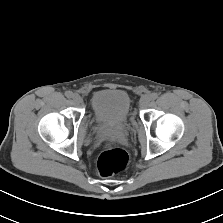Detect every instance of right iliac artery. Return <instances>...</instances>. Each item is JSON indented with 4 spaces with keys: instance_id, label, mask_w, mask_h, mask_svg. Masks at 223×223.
<instances>
[{
    "instance_id": "1",
    "label": "right iliac artery",
    "mask_w": 223,
    "mask_h": 223,
    "mask_svg": "<svg viewBox=\"0 0 223 223\" xmlns=\"http://www.w3.org/2000/svg\"><path fill=\"white\" fill-rule=\"evenodd\" d=\"M65 96H66L67 98H72L73 93H72L71 91H66V92H65Z\"/></svg>"
}]
</instances>
